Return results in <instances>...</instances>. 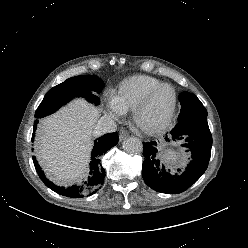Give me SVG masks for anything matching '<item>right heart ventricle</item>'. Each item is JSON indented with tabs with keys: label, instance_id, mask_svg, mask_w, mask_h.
Wrapping results in <instances>:
<instances>
[{
	"label": "right heart ventricle",
	"instance_id": "right-heart-ventricle-1",
	"mask_svg": "<svg viewBox=\"0 0 248 248\" xmlns=\"http://www.w3.org/2000/svg\"><path fill=\"white\" fill-rule=\"evenodd\" d=\"M160 84H162L160 80L151 76H131L119 83L113 98L124 113L132 111L150 90Z\"/></svg>",
	"mask_w": 248,
	"mask_h": 248
}]
</instances>
